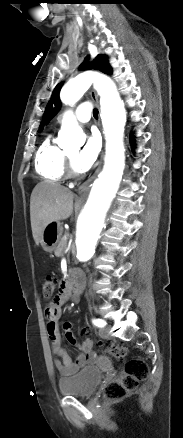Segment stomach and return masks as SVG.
Wrapping results in <instances>:
<instances>
[{"label": "stomach", "instance_id": "stomach-1", "mask_svg": "<svg viewBox=\"0 0 183 438\" xmlns=\"http://www.w3.org/2000/svg\"><path fill=\"white\" fill-rule=\"evenodd\" d=\"M62 231L63 228L60 222H52L44 229L40 240L44 251L51 253L56 249Z\"/></svg>", "mask_w": 183, "mask_h": 438}]
</instances>
